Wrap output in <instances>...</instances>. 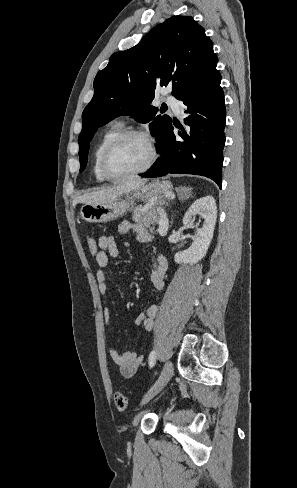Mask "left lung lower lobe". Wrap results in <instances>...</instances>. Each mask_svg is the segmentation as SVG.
Wrapping results in <instances>:
<instances>
[{
	"label": "left lung lower lobe",
	"instance_id": "1",
	"mask_svg": "<svg viewBox=\"0 0 297 488\" xmlns=\"http://www.w3.org/2000/svg\"><path fill=\"white\" fill-rule=\"evenodd\" d=\"M220 83L221 75L217 71L201 88L182 100L185 125L178 126L180 131L175 136L171 122L159 148L160 158L140 176L202 175L214 180L221 188L226 113Z\"/></svg>",
	"mask_w": 297,
	"mask_h": 488
}]
</instances>
